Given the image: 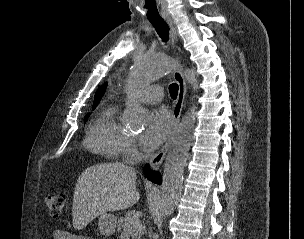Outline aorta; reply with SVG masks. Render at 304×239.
I'll return each mask as SVG.
<instances>
[{
    "label": "aorta",
    "mask_w": 304,
    "mask_h": 239,
    "mask_svg": "<svg viewBox=\"0 0 304 239\" xmlns=\"http://www.w3.org/2000/svg\"><path fill=\"white\" fill-rule=\"evenodd\" d=\"M174 60L168 56L150 57L147 55L135 60L129 75L127 86L130 91H136L153 81L169 74L174 68ZM186 80L198 88L196 74L193 70L185 71ZM195 106L182 118L172 138L164 165L162 180V195L160 211L163 216H169L176 208L181 196L183 172L186 164L195 124ZM146 112L134 101L127 104L125 119L130 123L141 124Z\"/></svg>",
    "instance_id": "aorta-1"
}]
</instances>
